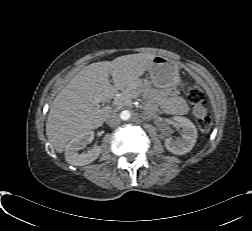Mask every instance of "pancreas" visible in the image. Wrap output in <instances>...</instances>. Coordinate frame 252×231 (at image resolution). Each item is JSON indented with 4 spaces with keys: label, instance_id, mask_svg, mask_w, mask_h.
Masks as SVG:
<instances>
[{
    "label": "pancreas",
    "instance_id": "pancreas-1",
    "mask_svg": "<svg viewBox=\"0 0 252 231\" xmlns=\"http://www.w3.org/2000/svg\"><path fill=\"white\" fill-rule=\"evenodd\" d=\"M131 104V98L129 93L124 91L120 96L115 99V108L121 109L124 106H128Z\"/></svg>",
    "mask_w": 252,
    "mask_h": 231
}]
</instances>
